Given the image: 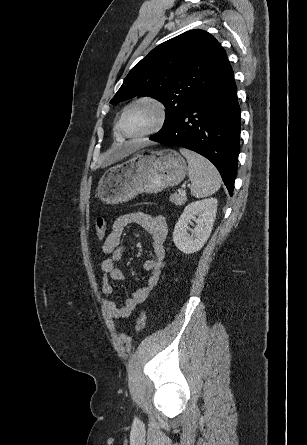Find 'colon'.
Instances as JSON below:
<instances>
[{
	"label": "colon",
	"instance_id": "5ec220e1",
	"mask_svg": "<svg viewBox=\"0 0 307 445\" xmlns=\"http://www.w3.org/2000/svg\"><path fill=\"white\" fill-rule=\"evenodd\" d=\"M106 231H107V221L104 217H98L96 220V226H95V232H96V236L99 240H102L105 235H106ZM146 320H147V314L146 311H142L140 312L137 321H136V325H135V331L137 333L141 332L145 325H146Z\"/></svg>",
	"mask_w": 307,
	"mask_h": 445
}]
</instances>
